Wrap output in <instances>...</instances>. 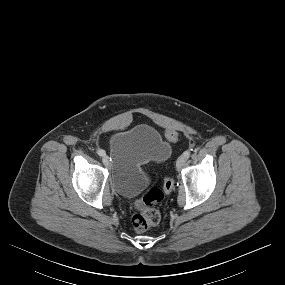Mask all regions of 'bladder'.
I'll use <instances>...</instances> for the list:
<instances>
[{
	"label": "bladder",
	"mask_w": 285,
	"mask_h": 285,
	"mask_svg": "<svg viewBox=\"0 0 285 285\" xmlns=\"http://www.w3.org/2000/svg\"><path fill=\"white\" fill-rule=\"evenodd\" d=\"M169 154L170 146L162 133L150 125L139 124L113 133L108 158L114 190L123 197L137 196L149 181L144 165Z\"/></svg>",
	"instance_id": "obj_1"
}]
</instances>
